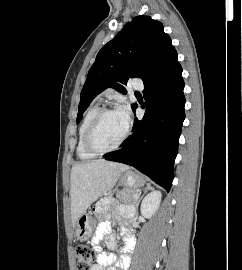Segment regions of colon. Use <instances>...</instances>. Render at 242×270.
<instances>
[{"label":"colon","mask_w":242,"mask_h":270,"mask_svg":"<svg viewBox=\"0 0 242 270\" xmlns=\"http://www.w3.org/2000/svg\"><path fill=\"white\" fill-rule=\"evenodd\" d=\"M77 270H92L95 254L87 245H79L75 250Z\"/></svg>","instance_id":"1"}]
</instances>
